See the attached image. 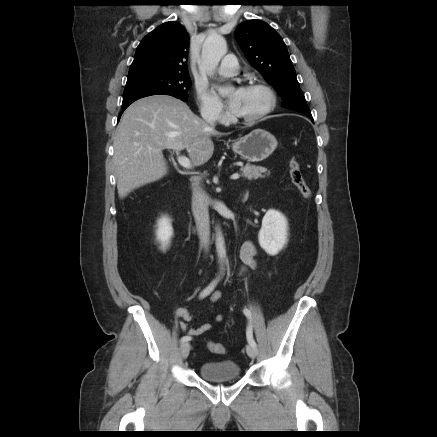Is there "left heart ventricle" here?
Segmentation results:
<instances>
[{
    "instance_id": "obj_1",
    "label": "left heart ventricle",
    "mask_w": 437,
    "mask_h": 437,
    "mask_svg": "<svg viewBox=\"0 0 437 437\" xmlns=\"http://www.w3.org/2000/svg\"><path fill=\"white\" fill-rule=\"evenodd\" d=\"M267 103L266 94L260 89L244 88L235 115L250 117L259 113Z\"/></svg>"
}]
</instances>
